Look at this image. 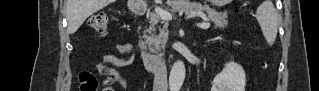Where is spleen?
Returning <instances> with one entry per match:
<instances>
[{
	"mask_svg": "<svg viewBox=\"0 0 319 91\" xmlns=\"http://www.w3.org/2000/svg\"><path fill=\"white\" fill-rule=\"evenodd\" d=\"M256 19L261 27L265 40L272 45L277 36L279 15L271 0H265L256 11Z\"/></svg>",
	"mask_w": 319,
	"mask_h": 91,
	"instance_id": "spleen-1",
	"label": "spleen"
}]
</instances>
